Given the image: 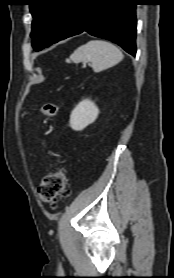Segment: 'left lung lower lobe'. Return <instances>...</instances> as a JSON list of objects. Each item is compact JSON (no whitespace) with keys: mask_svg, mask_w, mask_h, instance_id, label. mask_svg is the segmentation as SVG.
I'll list each match as a JSON object with an SVG mask.
<instances>
[{"mask_svg":"<svg viewBox=\"0 0 174 278\" xmlns=\"http://www.w3.org/2000/svg\"><path fill=\"white\" fill-rule=\"evenodd\" d=\"M137 4V0H77L56 42L87 31L118 44L135 56Z\"/></svg>","mask_w":174,"mask_h":278,"instance_id":"left-lung-lower-lobe-1","label":"left lung lower lobe"}]
</instances>
